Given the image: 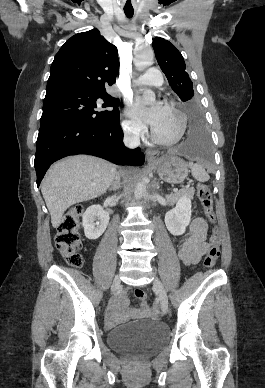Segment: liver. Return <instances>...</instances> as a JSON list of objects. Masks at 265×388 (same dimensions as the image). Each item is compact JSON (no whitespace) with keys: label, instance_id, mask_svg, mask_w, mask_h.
Wrapping results in <instances>:
<instances>
[{"label":"liver","instance_id":"6515ba94","mask_svg":"<svg viewBox=\"0 0 265 388\" xmlns=\"http://www.w3.org/2000/svg\"><path fill=\"white\" fill-rule=\"evenodd\" d=\"M116 166L93 156H69L49 168L41 192L50 212L53 228H58L67 208L102 196L112 186Z\"/></svg>","mask_w":265,"mask_h":388}]
</instances>
